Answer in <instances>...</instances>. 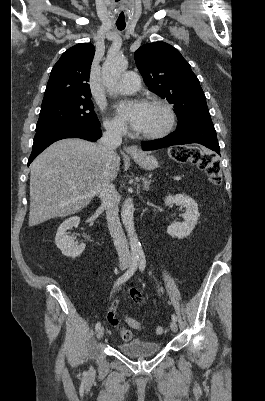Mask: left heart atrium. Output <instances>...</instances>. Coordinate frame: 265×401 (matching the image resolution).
Instances as JSON below:
<instances>
[{"label":"left heart atrium","instance_id":"39dd6f15","mask_svg":"<svg viewBox=\"0 0 265 401\" xmlns=\"http://www.w3.org/2000/svg\"><path fill=\"white\" fill-rule=\"evenodd\" d=\"M147 110L148 104L142 101H121L114 105L117 118L136 129L143 125Z\"/></svg>","mask_w":265,"mask_h":401}]
</instances>
